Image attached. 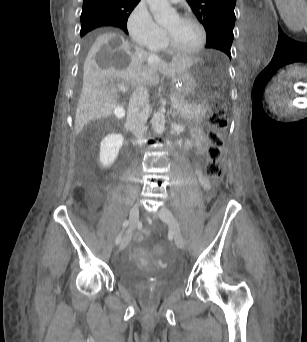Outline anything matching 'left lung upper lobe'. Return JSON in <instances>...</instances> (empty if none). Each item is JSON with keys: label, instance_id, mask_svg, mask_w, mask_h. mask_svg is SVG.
<instances>
[{"label": "left lung upper lobe", "instance_id": "1", "mask_svg": "<svg viewBox=\"0 0 307 342\" xmlns=\"http://www.w3.org/2000/svg\"><path fill=\"white\" fill-rule=\"evenodd\" d=\"M207 33L206 48L223 51L231 59L236 0H187Z\"/></svg>", "mask_w": 307, "mask_h": 342}]
</instances>
